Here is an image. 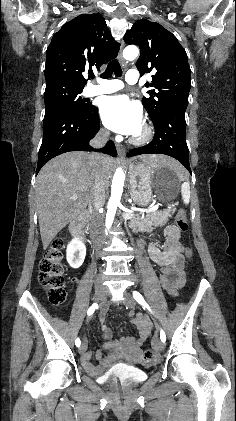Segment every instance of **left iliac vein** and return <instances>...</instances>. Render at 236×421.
Listing matches in <instances>:
<instances>
[{"label":"left iliac vein","mask_w":236,"mask_h":421,"mask_svg":"<svg viewBox=\"0 0 236 421\" xmlns=\"http://www.w3.org/2000/svg\"><path fill=\"white\" fill-rule=\"evenodd\" d=\"M124 295H125L124 304L129 306L130 308H134L135 301L132 295L128 293L127 291L124 292ZM152 346L155 348L156 351H163L165 348L164 342H162L161 339H159L158 337H154L152 341Z\"/></svg>","instance_id":"obj_1"}]
</instances>
